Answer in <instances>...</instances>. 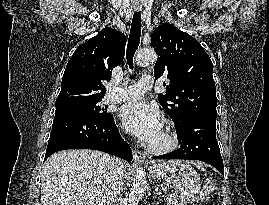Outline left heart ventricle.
Returning a JSON list of instances; mask_svg holds the SVG:
<instances>
[{"instance_id": "obj_1", "label": "left heart ventricle", "mask_w": 269, "mask_h": 205, "mask_svg": "<svg viewBox=\"0 0 269 205\" xmlns=\"http://www.w3.org/2000/svg\"><path fill=\"white\" fill-rule=\"evenodd\" d=\"M165 141V134L164 129L162 128L159 135L156 137V139L152 142V144H162Z\"/></svg>"}]
</instances>
